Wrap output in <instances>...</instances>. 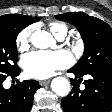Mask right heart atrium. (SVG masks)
Here are the masks:
<instances>
[{
    "mask_svg": "<svg viewBox=\"0 0 112 112\" xmlns=\"http://www.w3.org/2000/svg\"><path fill=\"white\" fill-rule=\"evenodd\" d=\"M32 30V27H26L18 33L16 37V46L20 52L29 49Z\"/></svg>",
    "mask_w": 112,
    "mask_h": 112,
    "instance_id": "right-heart-atrium-1",
    "label": "right heart atrium"
}]
</instances>
